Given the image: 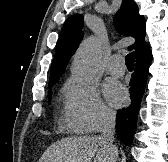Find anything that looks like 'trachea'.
<instances>
[{"instance_id": "trachea-1", "label": "trachea", "mask_w": 168, "mask_h": 162, "mask_svg": "<svg viewBox=\"0 0 168 162\" xmlns=\"http://www.w3.org/2000/svg\"><path fill=\"white\" fill-rule=\"evenodd\" d=\"M125 61H126V66H127V67H134V52L129 53V54L125 57Z\"/></svg>"}]
</instances>
